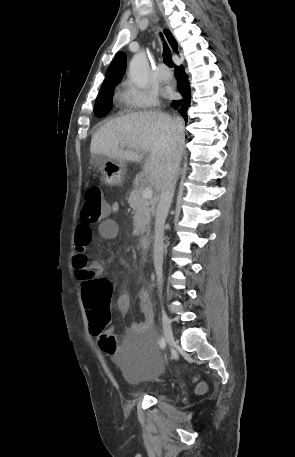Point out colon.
Returning a JSON list of instances; mask_svg holds the SVG:
<instances>
[{
    "mask_svg": "<svg viewBox=\"0 0 295 457\" xmlns=\"http://www.w3.org/2000/svg\"><path fill=\"white\" fill-rule=\"evenodd\" d=\"M109 214L108 204L105 202L102 190L98 186H91L85 194V201L80 211V225L90 227L101 223ZM73 267L78 277L84 281L82 301L86 310L91 333L98 338V343L105 359L120 360L127 357V348L110 333V301L111 285L105 280L95 279L89 267L85 253H76L73 258ZM196 390H203V381H196Z\"/></svg>",
    "mask_w": 295,
    "mask_h": 457,
    "instance_id": "5ec220e1",
    "label": "colon"
}]
</instances>
